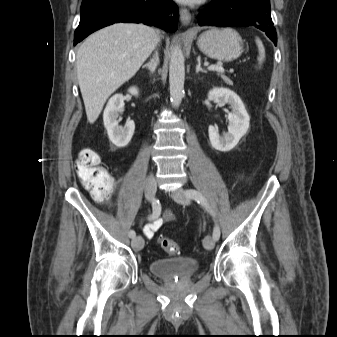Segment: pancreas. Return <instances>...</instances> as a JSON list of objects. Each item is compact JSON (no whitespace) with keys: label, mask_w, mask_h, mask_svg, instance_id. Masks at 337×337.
I'll list each match as a JSON object with an SVG mask.
<instances>
[{"label":"pancreas","mask_w":337,"mask_h":337,"mask_svg":"<svg viewBox=\"0 0 337 337\" xmlns=\"http://www.w3.org/2000/svg\"><path fill=\"white\" fill-rule=\"evenodd\" d=\"M221 78L224 80V82H225L226 84H228V85H233L232 81H231L228 77H226L225 75H222V74H221Z\"/></svg>","instance_id":"cf45deb5"}]
</instances>
